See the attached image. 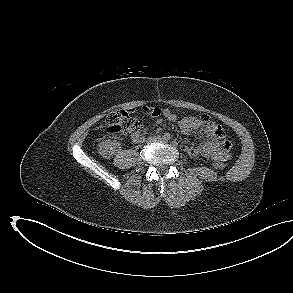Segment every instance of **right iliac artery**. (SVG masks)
I'll list each match as a JSON object with an SVG mask.
<instances>
[{"label":"right iliac artery","mask_w":293,"mask_h":293,"mask_svg":"<svg viewBox=\"0 0 293 293\" xmlns=\"http://www.w3.org/2000/svg\"><path fill=\"white\" fill-rule=\"evenodd\" d=\"M170 134L169 133H165L164 135H163V139L164 140H170Z\"/></svg>","instance_id":"obj_1"}]
</instances>
